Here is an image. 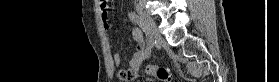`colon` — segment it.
I'll list each match as a JSON object with an SVG mask.
<instances>
[{
	"mask_svg": "<svg viewBox=\"0 0 279 82\" xmlns=\"http://www.w3.org/2000/svg\"><path fill=\"white\" fill-rule=\"evenodd\" d=\"M143 72L145 74L156 77L161 82H172L173 81V76H172L171 72L167 68L160 66V65L148 64L145 66ZM121 76H125V74L121 73Z\"/></svg>",
	"mask_w": 279,
	"mask_h": 82,
	"instance_id": "5ec220e1",
	"label": "colon"
}]
</instances>
